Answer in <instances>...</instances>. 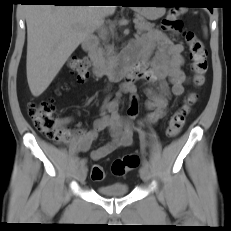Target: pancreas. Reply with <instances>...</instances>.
<instances>
[{
  "mask_svg": "<svg viewBox=\"0 0 231 231\" xmlns=\"http://www.w3.org/2000/svg\"><path fill=\"white\" fill-rule=\"evenodd\" d=\"M138 23L135 25L138 32L151 31L154 27V24L146 21L144 18H138ZM99 58L105 62L110 61L114 56V46L106 45L105 49H98Z\"/></svg>",
  "mask_w": 231,
  "mask_h": 231,
  "instance_id": "pancreas-1",
  "label": "pancreas"
}]
</instances>
